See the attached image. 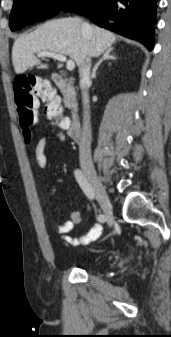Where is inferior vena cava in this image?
<instances>
[{
  "mask_svg": "<svg viewBox=\"0 0 171 337\" xmlns=\"http://www.w3.org/2000/svg\"><path fill=\"white\" fill-rule=\"evenodd\" d=\"M90 29L88 23L82 24V30L87 31ZM91 59L87 57L79 69L80 87L82 91V104L84 108V122L82 128V138L79 144V160L83 163H92L91 158V139L92 131L90 124V101L88 88L91 86L90 79Z\"/></svg>",
  "mask_w": 171,
  "mask_h": 337,
  "instance_id": "602c4592",
  "label": "inferior vena cava"
}]
</instances>
